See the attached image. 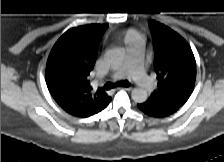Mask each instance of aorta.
Masks as SVG:
<instances>
[{
	"label": "aorta",
	"instance_id": "obj_1",
	"mask_svg": "<svg viewBox=\"0 0 224 162\" xmlns=\"http://www.w3.org/2000/svg\"><path fill=\"white\" fill-rule=\"evenodd\" d=\"M124 57V53L121 50H112L107 53L106 60L114 68L120 65ZM131 98L136 103H144L148 94L147 91L143 88H135L131 92Z\"/></svg>",
	"mask_w": 224,
	"mask_h": 162
}]
</instances>
